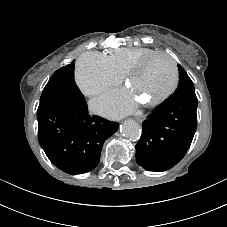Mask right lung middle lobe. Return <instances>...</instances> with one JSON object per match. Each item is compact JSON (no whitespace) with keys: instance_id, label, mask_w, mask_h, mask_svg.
Masks as SVG:
<instances>
[{"instance_id":"right-lung-middle-lobe-1","label":"right lung middle lobe","mask_w":227,"mask_h":227,"mask_svg":"<svg viewBox=\"0 0 227 227\" xmlns=\"http://www.w3.org/2000/svg\"><path fill=\"white\" fill-rule=\"evenodd\" d=\"M67 99H84L74 81V63L58 69L51 76L41 94L40 104Z\"/></svg>"}]
</instances>
